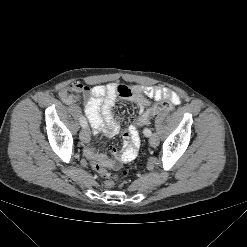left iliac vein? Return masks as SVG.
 <instances>
[{
    "label": "left iliac vein",
    "mask_w": 247,
    "mask_h": 247,
    "mask_svg": "<svg viewBox=\"0 0 247 247\" xmlns=\"http://www.w3.org/2000/svg\"><path fill=\"white\" fill-rule=\"evenodd\" d=\"M149 143L152 147H156L158 145V137L156 134H152L150 136Z\"/></svg>",
    "instance_id": "left-iliac-vein-1"
}]
</instances>
